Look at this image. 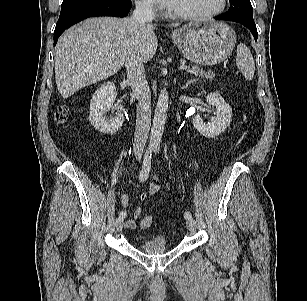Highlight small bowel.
<instances>
[{
  "label": "small bowel",
  "mask_w": 307,
  "mask_h": 301,
  "mask_svg": "<svg viewBox=\"0 0 307 301\" xmlns=\"http://www.w3.org/2000/svg\"><path fill=\"white\" fill-rule=\"evenodd\" d=\"M160 190V183L158 179L154 178L150 181L148 187L146 190L142 192L140 195L141 199H144L146 197H151L157 194ZM120 203L124 207H127L130 204V197L126 194L121 195L120 197ZM141 215V208H136L133 212V218L128 219L125 221V226L129 229H134L136 227V219Z\"/></svg>",
  "instance_id": "c3829d8e"
}]
</instances>
